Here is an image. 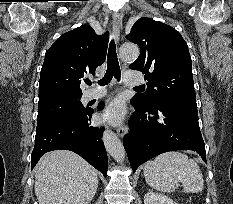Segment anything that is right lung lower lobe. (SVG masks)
Listing matches in <instances>:
<instances>
[{
  "instance_id": "obj_1",
  "label": "right lung lower lobe",
  "mask_w": 233,
  "mask_h": 204,
  "mask_svg": "<svg viewBox=\"0 0 233 204\" xmlns=\"http://www.w3.org/2000/svg\"><path fill=\"white\" fill-rule=\"evenodd\" d=\"M100 104L99 108H103ZM92 109H87L74 118L59 121L36 132L35 146L31 156V169L46 152L71 150L107 176L108 158L101 141L104 128L91 125Z\"/></svg>"
}]
</instances>
